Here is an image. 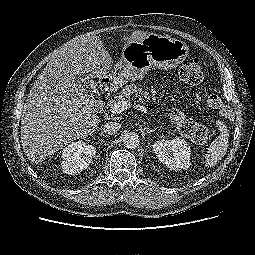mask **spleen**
Wrapping results in <instances>:
<instances>
[{"label": "spleen", "instance_id": "3e777b00", "mask_svg": "<svg viewBox=\"0 0 255 255\" xmlns=\"http://www.w3.org/2000/svg\"><path fill=\"white\" fill-rule=\"evenodd\" d=\"M220 135L209 146L205 156L207 167H212L219 162L226 154L228 148L229 131L224 123H219Z\"/></svg>", "mask_w": 255, "mask_h": 255}]
</instances>
